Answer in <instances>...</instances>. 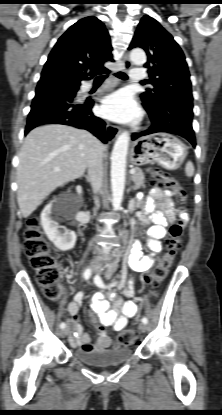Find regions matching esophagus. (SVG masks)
I'll return each instance as SVG.
<instances>
[{"label":"esophagus","instance_id":"esophagus-1","mask_svg":"<svg viewBox=\"0 0 222 415\" xmlns=\"http://www.w3.org/2000/svg\"><path fill=\"white\" fill-rule=\"evenodd\" d=\"M131 65L132 64H131L130 60L128 58H125L123 60L122 69L123 70L128 69V68L131 67ZM120 130L121 129L119 127L108 123L107 126H106V137H107L108 141L109 142L114 141L116 139V137L118 136V134L120 133Z\"/></svg>","mask_w":222,"mask_h":415}]
</instances>
